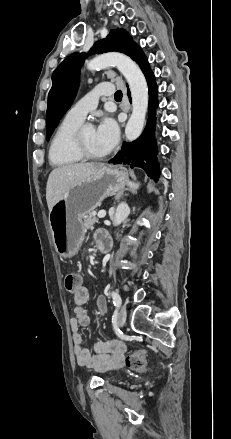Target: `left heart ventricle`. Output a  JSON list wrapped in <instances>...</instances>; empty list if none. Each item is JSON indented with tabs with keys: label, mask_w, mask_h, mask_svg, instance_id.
<instances>
[{
	"label": "left heart ventricle",
	"mask_w": 231,
	"mask_h": 439,
	"mask_svg": "<svg viewBox=\"0 0 231 439\" xmlns=\"http://www.w3.org/2000/svg\"><path fill=\"white\" fill-rule=\"evenodd\" d=\"M83 141L89 151L95 154H104V150L98 144L95 137V130L92 127H85L83 130Z\"/></svg>",
	"instance_id": "obj_1"
}]
</instances>
